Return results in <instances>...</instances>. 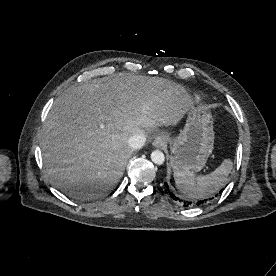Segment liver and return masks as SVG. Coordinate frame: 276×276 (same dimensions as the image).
<instances>
[{"mask_svg":"<svg viewBox=\"0 0 276 276\" xmlns=\"http://www.w3.org/2000/svg\"><path fill=\"white\" fill-rule=\"evenodd\" d=\"M193 105L183 86L160 77L119 73L68 88L54 101L42 130L50 182L76 199L103 195L133 153L128 139L178 124Z\"/></svg>","mask_w":276,"mask_h":276,"instance_id":"liver-1","label":"liver"}]
</instances>
